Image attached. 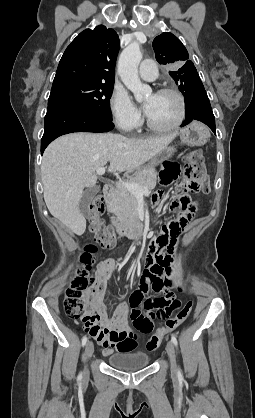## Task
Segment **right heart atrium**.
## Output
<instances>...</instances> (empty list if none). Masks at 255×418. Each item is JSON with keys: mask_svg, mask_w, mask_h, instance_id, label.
I'll return each instance as SVG.
<instances>
[{"mask_svg": "<svg viewBox=\"0 0 255 418\" xmlns=\"http://www.w3.org/2000/svg\"><path fill=\"white\" fill-rule=\"evenodd\" d=\"M110 111L114 121L122 130L131 131L141 122L138 108L124 90L113 91L110 98Z\"/></svg>", "mask_w": 255, "mask_h": 418, "instance_id": "1", "label": "right heart atrium"}]
</instances>
